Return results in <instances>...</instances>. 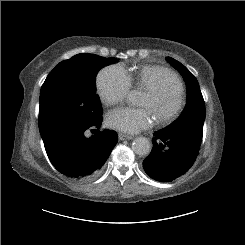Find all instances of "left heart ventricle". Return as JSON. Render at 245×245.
Wrapping results in <instances>:
<instances>
[{"mask_svg":"<svg viewBox=\"0 0 245 245\" xmlns=\"http://www.w3.org/2000/svg\"><path fill=\"white\" fill-rule=\"evenodd\" d=\"M161 81L167 82L169 84L170 80L165 76L162 77ZM173 102V97L171 92H168L160 101L156 102L152 96L146 91L143 98L142 106L149 109L153 114L159 111L167 110Z\"/></svg>","mask_w":245,"mask_h":245,"instance_id":"obj_1","label":"left heart ventricle"}]
</instances>
